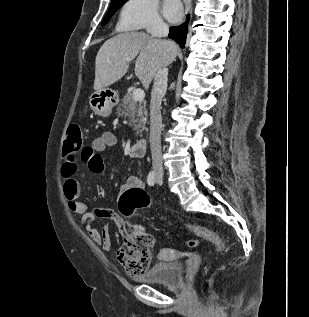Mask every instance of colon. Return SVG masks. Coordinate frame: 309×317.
<instances>
[{
  "instance_id": "obj_1",
  "label": "colon",
  "mask_w": 309,
  "mask_h": 317,
  "mask_svg": "<svg viewBox=\"0 0 309 317\" xmlns=\"http://www.w3.org/2000/svg\"><path fill=\"white\" fill-rule=\"evenodd\" d=\"M86 149L87 147H82L81 127L77 124L70 125L64 144L66 160H74L77 155L83 156ZM150 203V197L144 189H129L121 195L119 208L124 216H130L138 209L149 207ZM185 227L197 237L213 243L218 252L225 248L224 239L216 231L192 224H185ZM123 237L124 242L116 251L117 259L130 275L144 273L152 259L153 237L141 228L127 231ZM186 245L196 247L198 240L189 239Z\"/></svg>"
}]
</instances>
